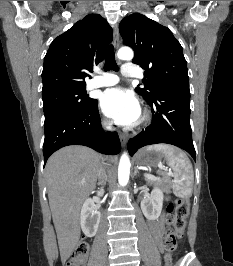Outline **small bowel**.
Here are the masks:
<instances>
[{
	"label": "small bowel",
	"mask_w": 233,
	"mask_h": 266,
	"mask_svg": "<svg viewBox=\"0 0 233 266\" xmlns=\"http://www.w3.org/2000/svg\"><path fill=\"white\" fill-rule=\"evenodd\" d=\"M149 229L156 241V243L161 247L162 239L164 234V221L163 217H160L156 220H150L148 222Z\"/></svg>",
	"instance_id": "1"
}]
</instances>
